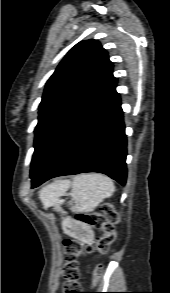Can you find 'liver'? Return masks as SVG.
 Masks as SVG:
<instances>
[{"instance_id": "liver-1", "label": "liver", "mask_w": 170, "mask_h": 293, "mask_svg": "<svg viewBox=\"0 0 170 293\" xmlns=\"http://www.w3.org/2000/svg\"><path fill=\"white\" fill-rule=\"evenodd\" d=\"M70 182L69 181H63L59 182L57 184V189H63L66 190L69 187ZM60 194L59 190H54L51 186L45 188L40 193V199L44 206L50 205L51 202L57 198V196Z\"/></svg>"}]
</instances>
